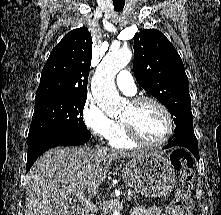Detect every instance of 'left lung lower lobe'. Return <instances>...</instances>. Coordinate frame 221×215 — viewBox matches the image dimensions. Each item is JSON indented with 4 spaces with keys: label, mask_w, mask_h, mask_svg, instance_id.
Here are the masks:
<instances>
[{
    "label": "left lung lower lobe",
    "mask_w": 221,
    "mask_h": 215,
    "mask_svg": "<svg viewBox=\"0 0 221 215\" xmlns=\"http://www.w3.org/2000/svg\"><path fill=\"white\" fill-rule=\"evenodd\" d=\"M173 146L185 147L191 151L196 159H199L198 143L195 134L179 135L163 148L166 149Z\"/></svg>",
    "instance_id": "1"
}]
</instances>
